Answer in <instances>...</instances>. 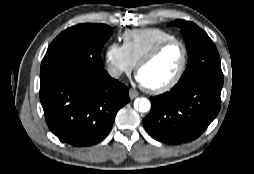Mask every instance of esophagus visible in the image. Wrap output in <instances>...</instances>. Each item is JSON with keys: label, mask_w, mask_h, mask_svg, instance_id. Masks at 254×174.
Listing matches in <instances>:
<instances>
[{"label": "esophagus", "mask_w": 254, "mask_h": 174, "mask_svg": "<svg viewBox=\"0 0 254 174\" xmlns=\"http://www.w3.org/2000/svg\"><path fill=\"white\" fill-rule=\"evenodd\" d=\"M137 96H138V92L136 90H134V89L129 90V97H130L131 100H133Z\"/></svg>", "instance_id": "obj_1"}]
</instances>
